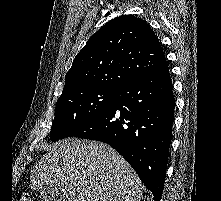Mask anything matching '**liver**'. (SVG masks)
I'll use <instances>...</instances> for the list:
<instances>
[{
	"label": "liver",
	"instance_id": "6515ba94",
	"mask_svg": "<svg viewBox=\"0 0 221 201\" xmlns=\"http://www.w3.org/2000/svg\"><path fill=\"white\" fill-rule=\"evenodd\" d=\"M54 184L69 201H138L143 194L138 175L116 150L76 138L53 145L35 165L31 188Z\"/></svg>",
	"mask_w": 221,
	"mask_h": 201
}]
</instances>
